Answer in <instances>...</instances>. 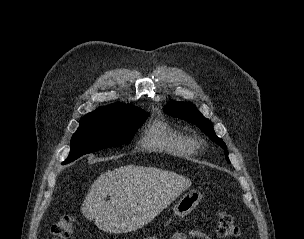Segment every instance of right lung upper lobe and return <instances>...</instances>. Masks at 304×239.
<instances>
[{
	"label": "right lung upper lobe",
	"instance_id": "1",
	"mask_svg": "<svg viewBox=\"0 0 304 239\" xmlns=\"http://www.w3.org/2000/svg\"><path fill=\"white\" fill-rule=\"evenodd\" d=\"M134 108L137 107L130 104H111V105L99 107L97 110L88 113L86 116H115V115L123 114L129 109H134Z\"/></svg>",
	"mask_w": 304,
	"mask_h": 239
}]
</instances>
